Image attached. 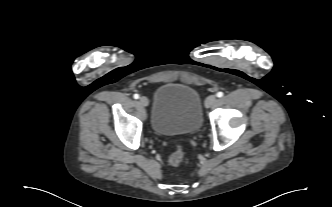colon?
Listing matches in <instances>:
<instances>
[{"label":"colon","mask_w":332,"mask_h":207,"mask_svg":"<svg viewBox=\"0 0 332 207\" xmlns=\"http://www.w3.org/2000/svg\"><path fill=\"white\" fill-rule=\"evenodd\" d=\"M184 160V150L181 146H177L175 151L169 157V163L172 166H179Z\"/></svg>","instance_id":"5ec220e1"}]
</instances>
